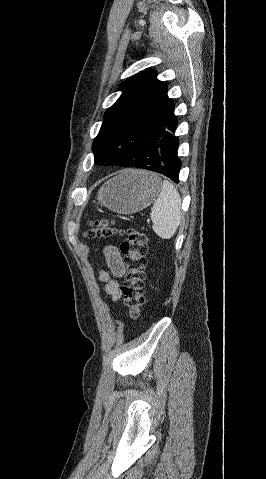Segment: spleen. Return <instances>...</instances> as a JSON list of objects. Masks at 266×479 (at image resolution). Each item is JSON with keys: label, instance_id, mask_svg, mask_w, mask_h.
<instances>
[{"label": "spleen", "instance_id": "3e777b00", "mask_svg": "<svg viewBox=\"0 0 266 479\" xmlns=\"http://www.w3.org/2000/svg\"><path fill=\"white\" fill-rule=\"evenodd\" d=\"M153 231L162 239H171L182 218L181 197L175 186L164 180L160 193L151 208Z\"/></svg>", "mask_w": 266, "mask_h": 479}]
</instances>
